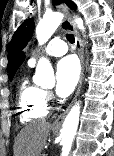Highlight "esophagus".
<instances>
[{
	"label": "esophagus",
	"mask_w": 114,
	"mask_h": 156,
	"mask_svg": "<svg viewBox=\"0 0 114 156\" xmlns=\"http://www.w3.org/2000/svg\"><path fill=\"white\" fill-rule=\"evenodd\" d=\"M56 9L60 12H67V8L64 5H58L56 6ZM61 26L63 29L68 30L69 32L73 33L74 37H75V45L78 51V55L80 58V62H81V74H80V79H79V83H78V87L76 90V94L74 97V100H76V98L78 97L79 93H80V89L82 86V81H83V75H84V52H83V45L80 39V36L78 34V31L76 30L75 26L73 25L71 19L69 17H65L62 20ZM72 106V103L63 111V113H61L59 115V117L53 122V126L54 127H60L67 115V113L69 112L70 108Z\"/></svg>",
	"instance_id": "1"
}]
</instances>
